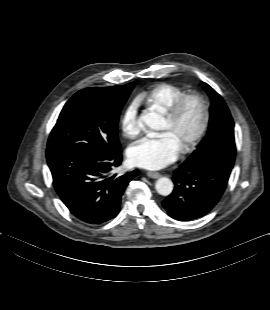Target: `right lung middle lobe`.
<instances>
[{"instance_id": "1", "label": "right lung middle lobe", "mask_w": 270, "mask_h": 310, "mask_svg": "<svg viewBox=\"0 0 270 310\" xmlns=\"http://www.w3.org/2000/svg\"><path fill=\"white\" fill-rule=\"evenodd\" d=\"M133 87L131 82L125 91L92 87L77 92L63 107L47 147H74L102 153L119 150L118 118Z\"/></svg>"}]
</instances>
